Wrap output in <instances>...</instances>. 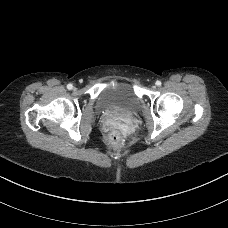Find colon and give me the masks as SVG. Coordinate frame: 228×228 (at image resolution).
Listing matches in <instances>:
<instances>
[{"label": "colon", "mask_w": 228, "mask_h": 228, "mask_svg": "<svg viewBox=\"0 0 228 228\" xmlns=\"http://www.w3.org/2000/svg\"><path fill=\"white\" fill-rule=\"evenodd\" d=\"M108 142L114 149H120L124 143L123 135L118 129H113L108 135Z\"/></svg>", "instance_id": "5ec220e1"}]
</instances>
